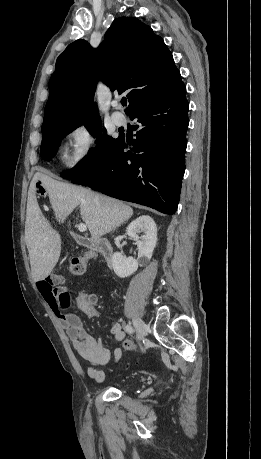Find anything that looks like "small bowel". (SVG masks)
<instances>
[{"label": "small bowel", "instance_id": "small-bowel-1", "mask_svg": "<svg viewBox=\"0 0 261 459\" xmlns=\"http://www.w3.org/2000/svg\"><path fill=\"white\" fill-rule=\"evenodd\" d=\"M91 259L97 258L96 254L90 253ZM63 282V278L58 275H49L36 282V286L41 296L58 318L60 325L66 330L67 335L73 342L77 354L87 363L97 366L105 365L111 359L117 363L122 356L121 348L117 347L111 353L101 339L96 340L83 326L81 319L74 313L66 311L64 300L68 293L62 288H54ZM81 311L87 317H95L97 311L95 307L80 306ZM111 335L116 341H121L125 333L120 323H114L110 330ZM91 366L87 369L88 376L96 382L105 379V372Z\"/></svg>", "mask_w": 261, "mask_h": 459}]
</instances>
